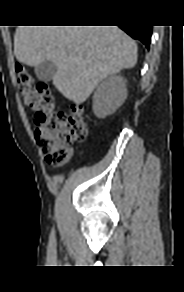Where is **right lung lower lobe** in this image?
Here are the masks:
<instances>
[{
  "mask_svg": "<svg viewBox=\"0 0 184 292\" xmlns=\"http://www.w3.org/2000/svg\"><path fill=\"white\" fill-rule=\"evenodd\" d=\"M132 38L140 40L147 48L151 42L152 26L147 25H124L119 26Z\"/></svg>",
  "mask_w": 184,
  "mask_h": 292,
  "instance_id": "98d812e1",
  "label": "right lung lower lobe"
}]
</instances>
